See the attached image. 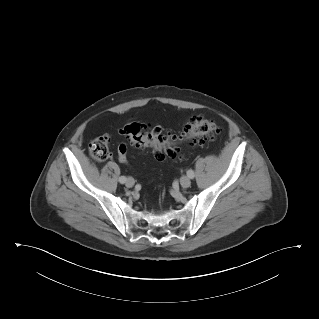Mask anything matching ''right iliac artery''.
<instances>
[{
  "instance_id": "82829eb1",
  "label": "right iliac artery",
  "mask_w": 319,
  "mask_h": 319,
  "mask_svg": "<svg viewBox=\"0 0 319 319\" xmlns=\"http://www.w3.org/2000/svg\"><path fill=\"white\" fill-rule=\"evenodd\" d=\"M119 182H120L121 184H124V183L126 182V177H125V176H121V177L119 178Z\"/></svg>"
}]
</instances>
